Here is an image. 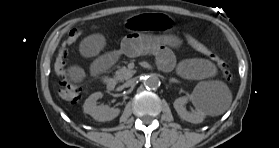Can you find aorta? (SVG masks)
Segmentation results:
<instances>
[{
	"label": "aorta",
	"mask_w": 279,
	"mask_h": 148,
	"mask_svg": "<svg viewBox=\"0 0 279 148\" xmlns=\"http://www.w3.org/2000/svg\"><path fill=\"white\" fill-rule=\"evenodd\" d=\"M160 85V80L156 75H148L144 79V86L149 89H157Z\"/></svg>",
	"instance_id": "aorta-1"
}]
</instances>
